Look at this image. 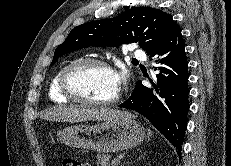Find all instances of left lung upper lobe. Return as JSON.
I'll use <instances>...</instances> for the list:
<instances>
[{"mask_svg":"<svg viewBox=\"0 0 231 166\" xmlns=\"http://www.w3.org/2000/svg\"><path fill=\"white\" fill-rule=\"evenodd\" d=\"M172 16L155 8L135 7L120 15L79 25L55 52L51 65L64 54L89 46L118 47L137 43L147 54L176 27Z\"/></svg>","mask_w":231,"mask_h":166,"instance_id":"obj_1","label":"left lung upper lobe"}]
</instances>
